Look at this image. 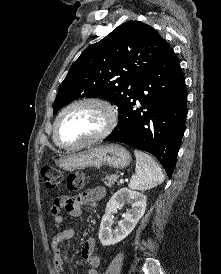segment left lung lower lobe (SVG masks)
Here are the masks:
<instances>
[{
  "instance_id": "1",
  "label": "left lung lower lobe",
  "mask_w": 221,
  "mask_h": 274,
  "mask_svg": "<svg viewBox=\"0 0 221 274\" xmlns=\"http://www.w3.org/2000/svg\"><path fill=\"white\" fill-rule=\"evenodd\" d=\"M136 101L140 107L135 108ZM187 91L179 60L170 47L139 79L134 97L119 111L106 141L153 154L171 178L185 131Z\"/></svg>"
}]
</instances>
